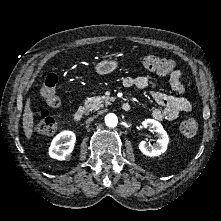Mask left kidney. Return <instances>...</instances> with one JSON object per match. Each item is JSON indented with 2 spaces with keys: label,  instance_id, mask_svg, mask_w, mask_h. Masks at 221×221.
<instances>
[{
  "label": "left kidney",
  "instance_id": "1",
  "mask_svg": "<svg viewBox=\"0 0 221 221\" xmlns=\"http://www.w3.org/2000/svg\"><path fill=\"white\" fill-rule=\"evenodd\" d=\"M142 125L143 127L150 128L152 131L156 132L159 138L157 139L156 144L153 145H148L145 141L140 142L138 145L140 151L149 157L159 156L166 152L169 137L163 126L154 119H145L142 122Z\"/></svg>",
  "mask_w": 221,
  "mask_h": 221
}]
</instances>
